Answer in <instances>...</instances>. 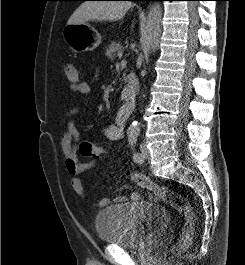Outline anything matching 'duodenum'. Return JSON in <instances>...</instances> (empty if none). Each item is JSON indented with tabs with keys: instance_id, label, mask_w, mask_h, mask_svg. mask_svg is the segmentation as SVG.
I'll use <instances>...</instances> for the list:
<instances>
[{
	"instance_id": "obj_1",
	"label": "duodenum",
	"mask_w": 245,
	"mask_h": 265,
	"mask_svg": "<svg viewBox=\"0 0 245 265\" xmlns=\"http://www.w3.org/2000/svg\"><path fill=\"white\" fill-rule=\"evenodd\" d=\"M125 86L123 88V97L128 104H133L136 101L138 90H139V82L136 74L128 73L125 76Z\"/></svg>"
}]
</instances>
